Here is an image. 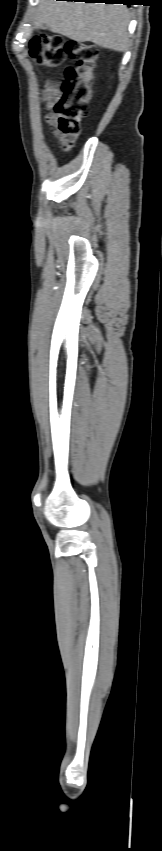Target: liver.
<instances>
[{"label": "liver", "mask_w": 162, "mask_h": 851, "mask_svg": "<svg viewBox=\"0 0 162 851\" xmlns=\"http://www.w3.org/2000/svg\"><path fill=\"white\" fill-rule=\"evenodd\" d=\"M129 11L122 5L41 0L33 24L78 42L124 52L129 46Z\"/></svg>", "instance_id": "1"}]
</instances>
